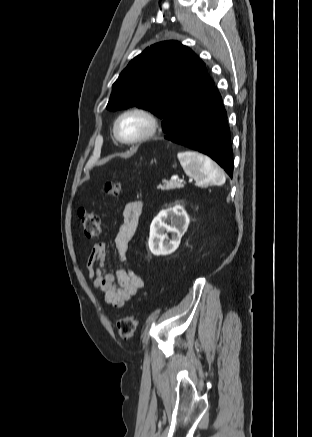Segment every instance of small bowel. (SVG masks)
<instances>
[{
	"instance_id": "c3829d8e",
	"label": "small bowel",
	"mask_w": 312,
	"mask_h": 437,
	"mask_svg": "<svg viewBox=\"0 0 312 437\" xmlns=\"http://www.w3.org/2000/svg\"><path fill=\"white\" fill-rule=\"evenodd\" d=\"M142 206V201L132 200L124 207L123 221L114 239L118 256L122 261L127 259L129 243L136 232ZM106 257V244L96 243L86 258V274L94 287L103 293L106 304L121 308L144 287V281L129 269H119L115 274L108 272L104 266Z\"/></svg>"
}]
</instances>
